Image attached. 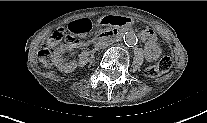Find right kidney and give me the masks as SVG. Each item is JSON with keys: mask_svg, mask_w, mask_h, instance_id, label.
Listing matches in <instances>:
<instances>
[{"mask_svg": "<svg viewBox=\"0 0 207 123\" xmlns=\"http://www.w3.org/2000/svg\"><path fill=\"white\" fill-rule=\"evenodd\" d=\"M67 48L64 45H60L57 49L54 51V61L57 68L62 72H71L75 69L76 64L71 63H65L62 55L65 53Z\"/></svg>", "mask_w": 207, "mask_h": 123, "instance_id": "obj_1", "label": "right kidney"}]
</instances>
